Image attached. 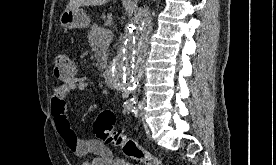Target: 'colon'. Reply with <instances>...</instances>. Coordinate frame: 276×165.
<instances>
[{"label": "colon", "instance_id": "colon-1", "mask_svg": "<svg viewBox=\"0 0 276 165\" xmlns=\"http://www.w3.org/2000/svg\"><path fill=\"white\" fill-rule=\"evenodd\" d=\"M75 65L67 53H59L55 57L54 74L57 79L66 81L75 75ZM115 115L110 110L101 111L93 124L95 136L122 150L125 156L145 165H162L161 160L143 149L132 138L115 130Z\"/></svg>", "mask_w": 276, "mask_h": 165}]
</instances>
